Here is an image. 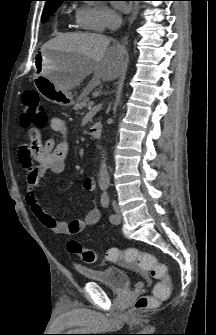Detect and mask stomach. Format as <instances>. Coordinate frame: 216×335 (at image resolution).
Masks as SVG:
<instances>
[{"label": "stomach", "mask_w": 216, "mask_h": 335, "mask_svg": "<svg viewBox=\"0 0 216 335\" xmlns=\"http://www.w3.org/2000/svg\"><path fill=\"white\" fill-rule=\"evenodd\" d=\"M71 61V54L50 49L41 50L36 56L37 74L34 84L46 100L61 106H71L75 103L73 94L62 90L52 79L56 74L63 73Z\"/></svg>", "instance_id": "1"}]
</instances>
